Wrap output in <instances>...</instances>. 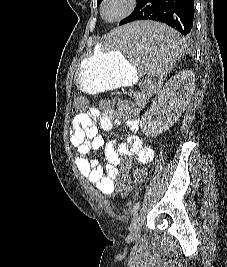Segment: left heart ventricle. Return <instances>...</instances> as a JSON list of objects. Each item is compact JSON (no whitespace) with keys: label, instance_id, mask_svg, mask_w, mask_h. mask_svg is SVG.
I'll use <instances>...</instances> for the list:
<instances>
[{"label":"left heart ventricle","instance_id":"left-heart-ventricle-1","mask_svg":"<svg viewBox=\"0 0 227 267\" xmlns=\"http://www.w3.org/2000/svg\"><path fill=\"white\" fill-rule=\"evenodd\" d=\"M124 3L122 0H114L109 3L106 8V15L108 18L115 17L118 15L123 9Z\"/></svg>","mask_w":227,"mask_h":267}]
</instances>
